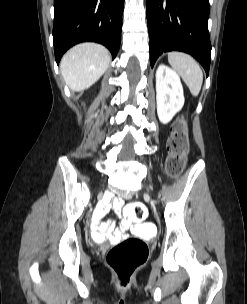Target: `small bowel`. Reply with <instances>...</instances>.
Here are the masks:
<instances>
[{
	"mask_svg": "<svg viewBox=\"0 0 247 304\" xmlns=\"http://www.w3.org/2000/svg\"><path fill=\"white\" fill-rule=\"evenodd\" d=\"M120 206V201H114L113 204H111V196L109 194H107L104 201L98 205L91 225V238L93 241L97 243L118 241L123 238L125 232L131 228V223L127 219H122L117 229H114V221L112 220L101 222V218L111 207L118 211Z\"/></svg>",
	"mask_w": 247,
	"mask_h": 304,
	"instance_id": "small-bowel-1",
	"label": "small bowel"
}]
</instances>
